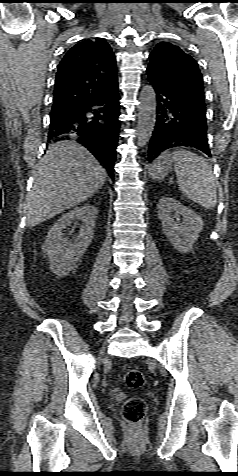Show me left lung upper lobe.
Listing matches in <instances>:
<instances>
[{"mask_svg": "<svg viewBox=\"0 0 238 476\" xmlns=\"http://www.w3.org/2000/svg\"><path fill=\"white\" fill-rule=\"evenodd\" d=\"M148 75L183 98L204 103L203 78L197 62L178 46L161 42L151 52Z\"/></svg>", "mask_w": 238, "mask_h": 476, "instance_id": "5c2ea615", "label": "left lung upper lobe"}]
</instances>
